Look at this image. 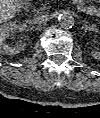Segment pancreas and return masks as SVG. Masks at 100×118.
<instances>
[{
	"label": "pancreas",
	"mask_w": 100,
	"mask_h": 118,
	"mask_svg": "<svg viewBox=\"0 0 100 118\" xmlns=\"http://www.w3.org/2000/svg\"><path fill=\"white\" fill-rule=\"evenodd\" d=\"M45 8V4H42V7H41V9H44Z\"/></svg>",
	"instance_id": "1"
}]
</instances>
